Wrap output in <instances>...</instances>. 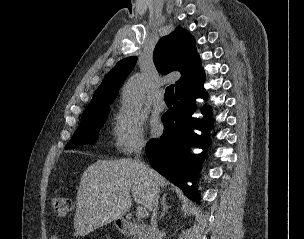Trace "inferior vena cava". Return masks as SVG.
Instances as JSON below:
<instances>
[{"label": "inferior vena cava", "mask_w": 304, "mask_h": 239, "mask_svg": "<svg viewBox=\"0 0 304 239\" xmlns=\"http://www.w3.org/2000/svg\"><path fill=\"white\" fill-rule=\"evenodd\" d=\"M145 146L144 142H139L137 146L135 147V153L137 157L141 154V151L143 147ZM138 163L140 168L142 169L143 174L147 175L149 174V171L146 169L144 164L141 162V160L138 159ZM152 198H151V210H152V218H151V230L153 237H155L158 234V228H157V209H158V199H159V189L155 185L152 186Z\"/></svg>", "instance_id": "obj_1"}]
</instances>
